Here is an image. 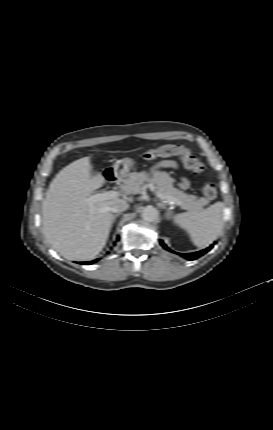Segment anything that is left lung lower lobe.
<instances>
[{
  "label": "left lung lower lobe",
  "mask_w": 273,
  "mask_h": 430,
  "mask_svg": "<svg viewBox=\"0 0 273 430\" xmlns=\"http://www.w3.org/2000/svg\"><path fill=\"white\" fill-rule=\"evenodd\" d=\"M160 244L162 245V247L164 248V249H166V250H168V251H171V252H173L172 250H170V248H168L162 241H160ZM213 246H210V247H208V248H206V249H204V250H201V251H197V252H193V253H185V254H183V253H177V254H179L180 256H182L183 258H185V259H188V260H195V259H197V258H199L200 256H202V255H204L205 253H207L211 248H212Z\"/></svg>",
  "instance_id": "obj_1"
}]
</instances>
